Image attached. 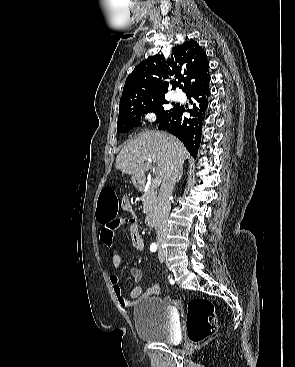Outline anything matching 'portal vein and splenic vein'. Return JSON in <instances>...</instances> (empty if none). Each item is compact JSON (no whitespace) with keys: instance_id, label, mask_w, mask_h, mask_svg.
I'll return each instance as SVG.
<instances>
[{"instance_id":"1","label":"portal vein and splenic vein","mask_w":295,"mask_h":367,"mask_svg":"<svg viewBox=\"0 0 295 367\" xmlns=\"http://www.w3.org/2000/svg\"><path fill=\"white\" fill-rule=\"evenodd\" d=\"M152 161H153V162H155V160H154V159H153ZM160 183H161V179H160L159 177H156V178L153 180V182H152L153 186H155V187L159 186V185H160Z\"/></svg>"}]
</instances>
